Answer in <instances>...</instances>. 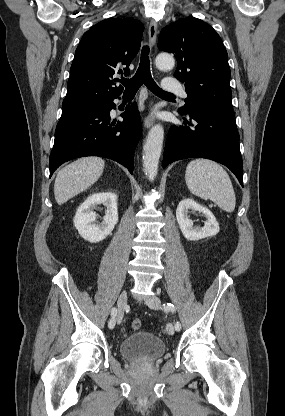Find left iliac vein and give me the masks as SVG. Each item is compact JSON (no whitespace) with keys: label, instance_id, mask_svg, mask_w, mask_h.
<instances>
[{"label":"left iliac vein","instance_id":"obj_1","mask_svg":"<svg viewBox=\"0 0 285 416\" xmlns=\"http://www.w3.org/2000/svg\"><path fill=\"white\" fill-rule=\"evenodd\" d=\"M146 302L150 309L158 310L161 307V300L157 296L150 297L148 300H146ZM166 330L169 335H174L175 330L177 331L178 329H174V326L171 323H168Z\"/></svg>","mask_w":285,"mask_h":416}]
</instances>
